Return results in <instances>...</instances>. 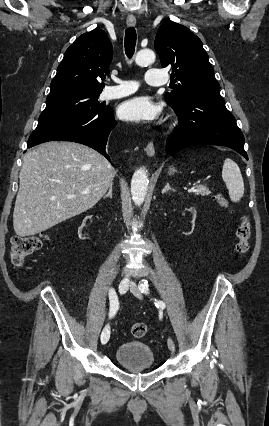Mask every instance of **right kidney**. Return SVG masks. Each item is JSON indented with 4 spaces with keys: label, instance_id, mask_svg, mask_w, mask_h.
<instances>
[{
    "label": "right kidney",
    "instance_id": "obj_1",
    "mask_svg": "<svg viewBox=\"0 0 269 426\" xmlns=\"http://www.w3.org/2000/svg\"><path fill=\"white\" fill-rule=\"evenodd\" d=\"M91 220V217L90 216H85V219L83 220V223H82V225L78 228V236H79V239H81V240H85L87 237H83L82 236V229H83V227L85 226V222L86 221H90Z\"/></svg>",
    "mask_w": 269,
    "mask_h": 426
}]
</instances>
